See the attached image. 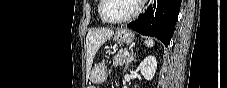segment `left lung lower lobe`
Instances as JSON below:
<instances>
[{
  "label": "left lung lower lobe",
  "instance_id": "left-lung-lower-lobe-1",
  "mask_svg": "<svg viewBox=\"0 0 227 88\" xmlns=\"http://www.w3.org/2000/svg\"><path fill=\"white\" fill-rule=\"evenodd\" d=\"M182 0H158L127 26L142 35L161 40L166 47L173 36Z\"/></svg>",
  "mask_w": 227,
  "mask_h": 88
}]
</instances>
